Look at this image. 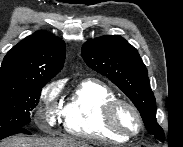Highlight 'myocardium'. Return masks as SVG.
<instances>
[{
	"label": "myocardium",
	"instance_id": "myocardium-1",
	"mask_svg": "<svg viewBox=\"0 0 183 147\" xmlns=\"http://www.w3.org/2000/svg\"><path fill=\"white\" fill-rule=\"evenodd\" d=\"M120 106L128 107L135 114L138 120V129L135 132H128L118 125L116 121V111ZM102 117L108 129L126 138H131L139 135L144 128V120L140 111L133 103L125 99L115 98L106 103L103 108Z\"/></svg>",
	"mask_w": 183,
	"mask_h": 147
}]
</instances>
